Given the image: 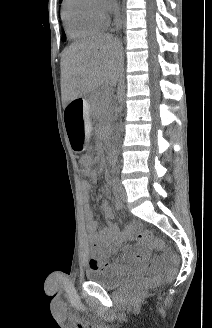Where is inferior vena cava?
<instances>
[{
	"mask_svg": "<svg viewBox=\"0 0 212 328\" xmlns=\"http://www.w3.org/2000/svg\"><path fill=\"white\" fill-rule=\"evenodd\" d=\"M113 10H114V14H115V16H116L117 27H118L119 22H120L119 9H118V7L115 6V7L113 8Z\"/></svg>",
	"mask_w": 212,
	"mask_h": 328,
	"instance_id": "obj_1",
	"label": "inferior vena cava"
}]
</instances>
